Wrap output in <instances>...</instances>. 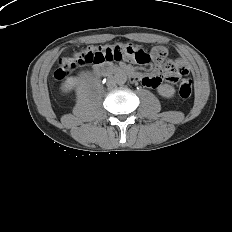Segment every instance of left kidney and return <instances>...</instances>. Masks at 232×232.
I'll list each match as a JSON object with an SVG mask.
<instances>
[{"label": "left kidney", "mask_w": 232, "mask_h": 232, "mask_svg": "<svg viewBox=\"0 0 232 232\" xmlns=\"http://www.w3.org/2000/svg\"><path fill=\"white\" fill-rule=\"evenodd\" d=\"M159 95L165 98H171L175 94V89L169 84H162L157 89Z\"/></svg>", "instance_id": "obj_1"}]
</instances>
